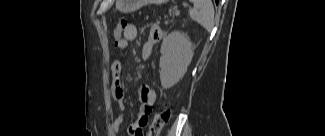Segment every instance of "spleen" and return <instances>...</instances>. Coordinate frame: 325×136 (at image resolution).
<instances>
[{
	"label": "spleen",
	"instance_id": "3e777b00",
	"mask_svg": "<svg viewBox=\"0 0 325 136\" xmlns=\"http://www.w3.org/2000/svg\"><path fill=\"white\" fill-rule=\"evenodd\" d=\"M194 8L189 14L192 20L199 23L207 31L214 27V8L211 0H194Z\"/></svg>",
	"mask_w": 325,
	"mask_h": 136
}]
</instances>
